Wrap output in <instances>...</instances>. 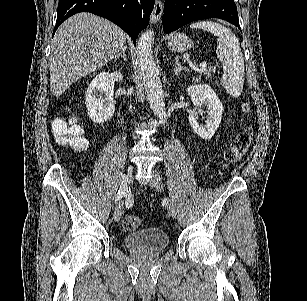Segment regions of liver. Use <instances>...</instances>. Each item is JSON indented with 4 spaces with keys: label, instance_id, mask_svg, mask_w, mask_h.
<instances>
[{
    "label": "liver",
    "instance_id": "liver-1",
    "mask_svg": "<svg viewBox=\"0 0 307 301\" xmlns=\"http://www.w3.org/2000/svg\"><path fill=\"white\" fill-rule=\"evenodd\" d=\"M126 32L107 18L78 12L64 20L51 42L50 90L61 96L70 84L101 68L124 48Z\"/></svg>",
    "mask_w": 307,
    "mask_h": 301
}]
</instances>
